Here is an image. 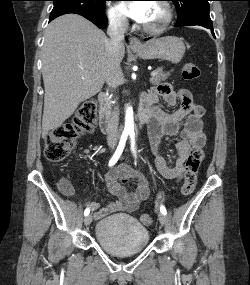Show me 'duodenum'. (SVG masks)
<instances>
[{
	"label": "duodenum",
	"mask_w": 250,
	"mask_h": 285,
	"mask_svg": "<svg viewBox=\"0 0 250 285\" xmlns=\"http://www.w3.org/2000/svg\"><path fill=\"white\" fill-rule=\"evenodd\" d=\"M99 102V126L102 132L108 133L112 129V116L110 111V103L108 94L102 92L98 95ZM151 107L148 103L142 102L139 111L138 119L141 123H145L151 117Z\"/></svg>",
	"instance_id": "1"
}]
</instances>
